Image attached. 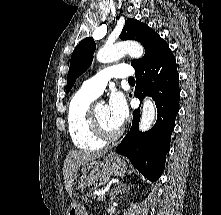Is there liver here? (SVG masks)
<instances>
[{"instance_id":"6515ba94","label":"liver","mask_w":221,"mask_h":215,"mask_svg":"<svg viewBox=\"0 0 221 215\" xmlns=\"http://www.w3.org/2000/svg\"><path fill=\"white\" fill-rule=\"evenodd\" d=\"M105 154L106 152H90L77 150H72L67 154L64 160L63 176L65 189L70 197L72 196L74 180L76 179L79 168L87 162L103 157Z\"/></svg>"}]
</instances>
